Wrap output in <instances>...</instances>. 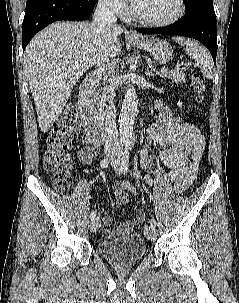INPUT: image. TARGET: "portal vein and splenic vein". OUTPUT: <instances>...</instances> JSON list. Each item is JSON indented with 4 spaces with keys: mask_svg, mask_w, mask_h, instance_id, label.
Masks as SVG:
<instances>
[{
    "mask_svg": "<svg viewBox=\"0 0 239 303\" xmlns=\"http://www.w3.org/2000/svg\"><path fill=\"white\" fill-rule=\"evenodd\" d=\"M180 65H177V67H179ZM169 70L166 68H161V72H168Z\"/></svg>",
    "mask_w": 239,
    "mask_h": 303,
    "instance_id": "18ae733b",
    "label": "portal vein and splenic vein"
}]
</instances>
